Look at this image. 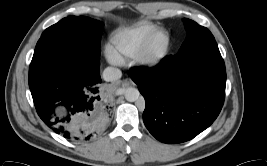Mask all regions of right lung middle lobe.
<instances>
[{
	"instance_id": "right-lung-middle-lobe-1",
	"label": "right lung middle lobe",
	"mask_w": 267,
	"mask_h": 166,
	"mask_svg": "<svg viewBox=\"0 0 267 166\" xmlns=\"http://www.w3.org/2000/svg\"><path fill=\"white\" fill-rule=\"evenodd\" d=\"M103 23L89 17L69 16L47 28L41 36L58 35L72 39L100 54Z\"/></svg>"
}]
</instances>
